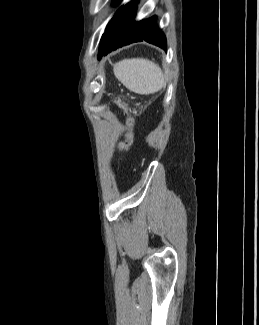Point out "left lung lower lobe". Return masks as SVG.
I'll list each match as a JSON object with an SVG mask.
<instances>
[{"mask_svg":"<svg viewBox=\"0 0 259 325\" xmlns=\"http://www.w3.org/2000/svg\"><path fill=\"white\" fill-rule=\"evenodd\" d=\"M137 1L121 7L110 20L102 37L100 56L133 42L146 41L166 50V38L156 25V16L142 21H133Z\"/></svg>","mask_w":259,"mask_h":325,"instance_id":"0a47b994","label":"left lung lower lobe"}]
</instances>
